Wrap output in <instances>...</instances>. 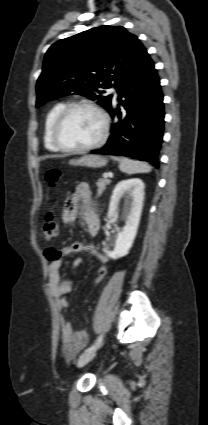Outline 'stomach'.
Masks as SVG:
<instances>
[{"label": "stomach", "mask_w": 208, "mask_h": 425, "mask_svg": "<svg viewBox=\"0 0 208 425\" xmlns=\"http://www.w3.org/2000/svg\"><path fill=\"white\" fill-rule=\"evenodd\" d=\"M71 165L85 166L89 168H100L107 164V159L98 155H84L78 159H72L69 161Z\"/></svg>", "instance_id": "1"}]
</instances>
